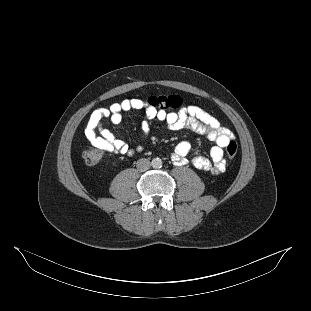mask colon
<instances>
[{
  "label": "colon",
  "instance_id": "colon-1",
  "mask_svg": "<svg viewBox=\"0 0 311 311\" xmlns=\"http://www.w3.org/2000/svg\"><path fill=\"white\" fill-rule=\"evenodd\" d=\"M183 101L178 95H161L152 96L147 100V104L159 108L161 110L165 109H177L182 105ZM226 153L229 159L235 158L237 154V144L234 141H230L226 147ZM103 156V152L99 148H92L86 150L83 154L85 163L88 166H95L99 163Z\"/></svg>",
  "mask_w": 311,
  "mask_h": 311
}]
</instances>
